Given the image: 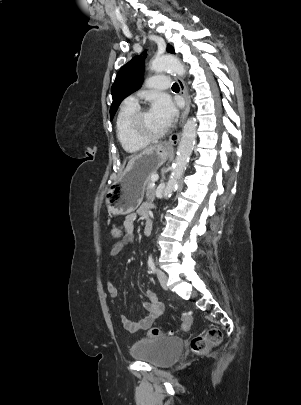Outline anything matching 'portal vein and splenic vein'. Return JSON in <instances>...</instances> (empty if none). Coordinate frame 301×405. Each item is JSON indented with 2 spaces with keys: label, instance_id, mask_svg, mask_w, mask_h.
<instances>
[{
  "label": "portal vein and splenic vein",
  "instance_id": "portal-vein-and-splenic-vein-1",
  "mask_svg": "<svg viewBox=\"0 0 301 405\" xmlns=\"http://www.w3.org/2000/svg\"><path fill=\"white\" fill-rule=\"evenodd\" d=\"M158 175H153L152 177H151V180L153 181V182H156L157 180H158Z\"/></svg>",
  "mask_w": 301,
  "mask_h": 405
}]
</instances>
